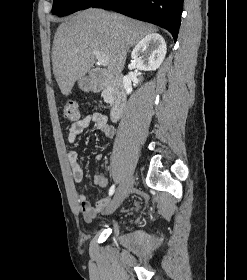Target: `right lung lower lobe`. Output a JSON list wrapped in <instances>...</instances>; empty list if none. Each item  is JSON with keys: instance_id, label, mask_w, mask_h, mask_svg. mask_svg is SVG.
Wrapping results in <instances>:
<instances>
[{"instance_id": "1", "label": "right lung lower lobe", "mask_w": 247, "mask_h": 280, "mask_svg": "<svg viewBox=\"0 0 247 280\" xmlns=\"http://www.w3.org/2000/svg\"><path fill=\"white\" fill-rule=\"evenodd\" d=\"M92 7L106 8L121 14L158 24L177 40L183 0H99Z\"/></svg>"}]
</instances>
